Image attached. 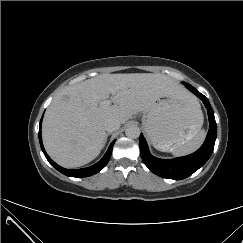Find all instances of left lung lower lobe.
I'll use <instances>...</instances> for the list:
<instances>
[{"label": "left lung lower lobe", "mask_w": 243, "mask_h": 243, "mask_svg": "<svg viewBox=\"0 0 243 243\" xmlns=\"http://www.w3.org/2000/svg\"><path fill=\"white\" fill-rule=\"evenodd\" d=\"M183 84L198 96L207 108L210 126L208 135L202 147L191 155L172 160H163L155 158L149 153L147 143L142 134L140 135L139 141L141 157L149 170L158 176L174 180H181L190 176L207 162L213 152L217 136V125L214 112L208 99L190 84Z\"/></svg>", "instance_id": "0a47b994"}]
</instances>
